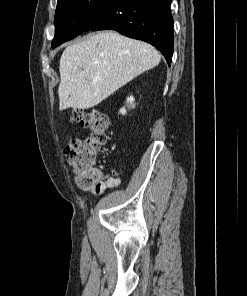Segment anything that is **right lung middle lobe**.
<instances>
[{
	"label": "right lung middle lobe",
	"mask_w": 247,
	"mask_h": 296,
	"mask_svg": "<svg viewBox=\"0 0 247 296\" xmlns=\"http://www.w3.org/2000/svg\"><path fill=\"white\" fill-rule=\"evenodd\" d=\"M106 0H58L55 13V36L52 48L82 32L93 11Z\"/></svg>",
	"instance_id": "dd1d6c3e"
}]
</instances>
